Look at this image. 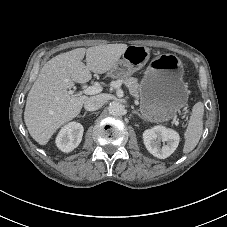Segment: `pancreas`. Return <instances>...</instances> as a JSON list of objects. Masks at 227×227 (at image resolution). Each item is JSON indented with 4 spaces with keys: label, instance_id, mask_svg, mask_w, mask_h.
<instances>
[{
    "label": "pancreas",
    "instance_id": "obj_1",
    "mask_svg": "<svg viewBox=\"0 0 227 227\" xmlns=\"http://www.w3.org/2000/svg\"><path fill=\"white\" fill-rule=\"evenodd\" d=\"M121 82L128 87L129 92L131 93V95H133L135 98L139 97L140 84L138 83V79L137 78L126 77V78H122Z\"/></svg>",
    "mask_w": 227,
    "mask_h": 227
}]
</instances>
